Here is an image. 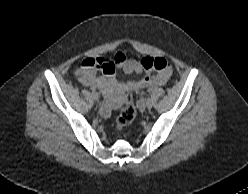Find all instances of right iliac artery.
<instances>
[{
  "instance_id": "right-iliac-artery-1",
  "label": "right iliac artery",
  "mask_w": 248,
  "mask_h": 194,
  "mask_svg": "<svg viewBox=\"0 0 248 194\" xmlns=\"http://www.w3.org/2000/svg\"><path fill=\"white\" fill-rule=\"evenodd\" d=\"M90 90L94 93L96 92V89L94 87H91Z\"/></svg>"
}]
</instances>
